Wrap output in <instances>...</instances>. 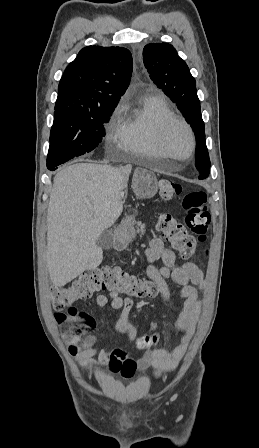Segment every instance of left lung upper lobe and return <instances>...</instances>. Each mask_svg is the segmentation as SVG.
<instances>
[{"instance_id": "obj_1", "label": "left lung upper lobe", "mask_w": 259, "mask_h": 448, "mask_svg": "<svg viewBox=\"0 0 259 448\" xmlns=\"http://www.w3.org/2000/svg\"><path fill=\"white\" fill-rule=\"evenodd\" d=\"M143 61L152 81L171 98L191 125L196 137V168L201 173L211 166L205 142L196 82L187 64L168 43H152L143 49Z\"/></svg>"}]
</instances>
